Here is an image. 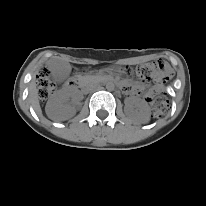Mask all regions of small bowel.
Segmentation results:
<instances>
[{
  "mask_svg": "<svg viewBox=\"0 0 206 206\" xmlns=\"http://www.w3.org/2000/svg\"><path fill=\"white\" fill-rule=\"evenodd\" d=\"M157 87H162V82H161V78L157 79Z\"/></svg>",
  "mask_w": 206,
  "mask_h": 206,
  "instance_id": "1",
  "label": "small bowel"
}]
</instances>
